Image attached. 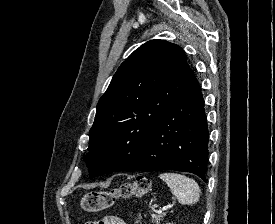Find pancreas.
<instances>
[{"instance_id":"pancreas-1","label":"pancreas","mask_w":275,"mask_h":224,"mask_svg":"<svg viewBox=\"0 0 275 224\" xmlns=\"http://www.w3.org/2000/svg\"><path fill=\"white\" fill-rule=\"evenodd\" d=\"M162 218L163 215H152V222L155 224H159Z\"/></svg>"}]
</instances>
